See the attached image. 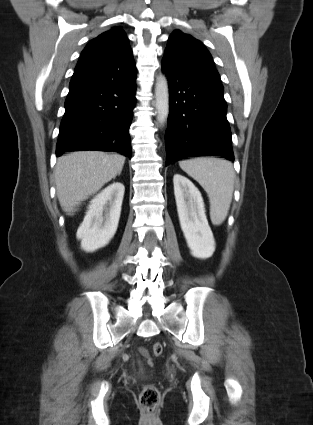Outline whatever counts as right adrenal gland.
I'll return each instance as SVG.
<instances>
[{
    "label": "right adrenal gland",
    "mask_w": 313,
    "mask_h": 425,
    "mask_svg": "<svg viewBox=\"0 0 313 425\" xmlns=\"http://www.w3.org/2000/svg\"><path fill=\"white\" fill-rule=\"evenodd\" d=\"M120 174H121V171L118 173V176H120Z\"/></svg>",
    "instance_id": "obj_1"
}]
</instances>
